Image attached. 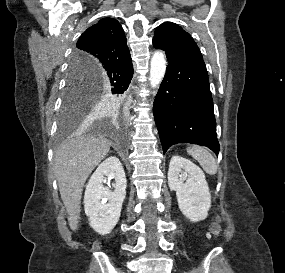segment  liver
I'll return each mask as SVG.
<instances>
[{"label": "liver", "mask_w": 285, "mask_h": 273, "mask_svg": "<svg viewBox=\"0 0 285 273\" xmlns=\"http://www.w3.org/2000/svg\"><path fill=\"white\" fill-rule=\"evenodd\" d=\"M110 150V141L99 136L76 137L55 152L54 173L70 228H78L84 184Z\"/></svg>", "instance_id": "liver-1"}]
</instances>
